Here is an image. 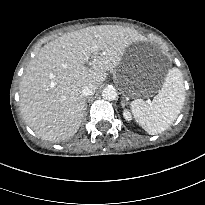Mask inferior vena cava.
<instances>
[{"label": "inferior vena cava", "mask_w": 205, "mask_h": 205, "mask_svg": "<svg viewBox=\"0 0 205 205\" xmlns=\"http://www.w3.org/2000/svg\"><path fill=\"white\" fill-rule=\"evenodd\" d=\"M96 87L94 85H87L82 89V95L87 97L95 93Z\"/></svg>", "instance_id": "inferior-vena-cava-1"}]
</instances>
